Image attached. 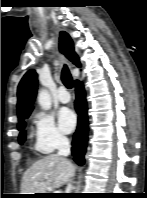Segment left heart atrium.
Wrapping results in <instances>:
<instances>
[{"label": "left heart atrium", "instance_id": "39dd6f15", "mask_svg": "<svg viewBox=\"0 0 147 198\" xmlns=\"http://www.w3.org/2000/svg\"><path fill=\"white\" fill-rule=\"evenodd\" d=\"M76 120L75 113L68 108L62 109L58 114L59 126L64 133L73 131L76 125Z\"/></svg>", "mask_w": 147, "mask_h": 198}]
</instances>
